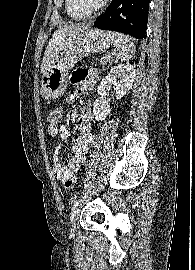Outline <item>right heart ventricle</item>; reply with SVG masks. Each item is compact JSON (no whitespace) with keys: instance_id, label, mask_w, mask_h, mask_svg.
<instances>
[{"instance_id":"1","label":"right heart ventricle","mask_w":195,"mask_h":270,"mask_svg":"<svg viewBox=\"0 0 195 270\" xmlns=\"http://www.w3.org/2000/svg\"><path fill=\"white\" fill-rule=\"evenodd\" d=\"M65 9L67 14L74 20H85L89 15L80 12L74 5L73 0H65Z\"/></svg>"}]
</instances>
